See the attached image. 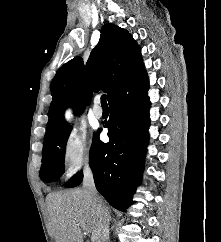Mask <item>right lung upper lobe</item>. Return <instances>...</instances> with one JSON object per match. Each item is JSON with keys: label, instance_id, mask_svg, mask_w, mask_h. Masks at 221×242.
Wrapping results in <instances>:
<instances>
[{"label": "right lung upper lobe", "instance_id": "1", "mask_svg": "<svg viewBox=\"0 0 221 242\" xmlns=\"http://www.w3.org/2000/svg\"><path fill=\"white\" fill-rule=\"evenodd\" d=\"M144 71L140 47L133 37L125 29L105 24L86 65L81 57H75L64 64L52 80L53 100L44 139L69 127L64 120L68 106L75 114H81L93 92L102 89L109 101L122 84Z\"/></svg>", "mask_w": 221, "mask_h": 242}]
</instances>
